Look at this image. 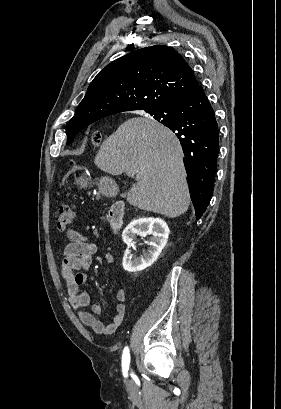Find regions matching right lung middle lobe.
Here are the masks:
<instances>
[{
	"instance_id": "obj_1",
	"label": "right lung middle lobe",
	"mask_w": 281,
	"mask_h": 409,
	"mask_svg": "<svg viewBox=\"0 0 281 409\" xmlns=\"http://www.w3.org/2000/svg\"><path fill=\"white\" fill-rule=\"evenodd\" d=\"M156 120L159 121L162 124H164L166 122L165 120H162L160 118H158ZM83 128H85V127H67L66 128V133H67V137H68L67 144H70L73 141L75 135L79 131H81Z\"/></svg>"
}]
</instances>
